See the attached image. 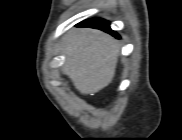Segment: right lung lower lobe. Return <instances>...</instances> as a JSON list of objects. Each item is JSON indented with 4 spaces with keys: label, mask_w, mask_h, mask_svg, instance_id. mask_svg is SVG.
Returning <instances> with one entry per match:
<instances>
[{
    "label": "right lung lower lobe",
    "mask_w": 182,
    "mask_h": 140,
    "mask_svg": "<svg viewBox=\"0 0 182 140\" xmlns=\"http://www.w3.org/2000/svg\"><path fill=\"white\" fill-rule=\"evenodd\" d=\"M109 24H110L109 21L99 19V18H93V19H88V20L81 22L80 24H78V26L101 29V30L111 33L113 36H115L117 38H120L119 35L115 31H112L110 29Z\"/></svg>",
    "instance_id": "obj_1"
}]
</instances>
